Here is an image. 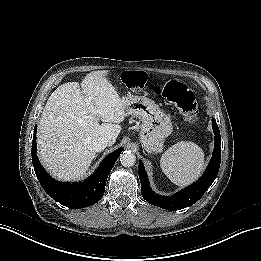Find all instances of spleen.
Returning a JSON list of instances; mask_svg holds the SVG:
<instances>
[{
    "instance_id": "3e777b00",
    "label": "spleen",
    "mask_w": 261,
    "mask_h": 261,
    "mask_svg": "<svg viewBox=\"0 0 261 261\" xmlns=\"http://www.w3.org/2000/svg\"><path fill=\"white\" fill-rule=\"evenodd\" d=\"M163 173L178 186L196 180L204 169V152L191 141H182L170 147L160 159Z\"/></svg>"
}]
</instances>
